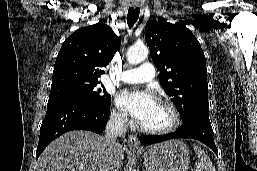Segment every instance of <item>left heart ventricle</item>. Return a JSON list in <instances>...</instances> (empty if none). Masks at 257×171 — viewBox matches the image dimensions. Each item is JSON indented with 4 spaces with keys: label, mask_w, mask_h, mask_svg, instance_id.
<instances>
[{
    "label": "left heart ventricle",
    "mask_w": 257,
    "mask_h": 171,
    "mask_svg": "<svg viewBox=\"0 0 257 171\" xmlns=\"http://www.w3.org/2000/svg\"><path fill=\"white\" fill-rule=\"evenodd\" d=\"M172 121L170 111L163 105L156 102L147 117L141 122L151 128H162L169 125Z\"/></svg>",
    "instance_id": "obj_1"
}]
</instances>
